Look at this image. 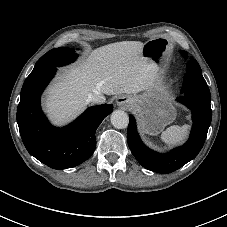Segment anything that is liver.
Returning a JSON list of instances; mask_svg holds the SVG:
<instances>
[{"label":"liver","mask_w":227,"mask_h":227,"mask_svg":"<svg viewBox=\"0 0 227 227\" xmlns=\"http://www.w3.org/2000/svg\"><path fill=\"white\" fill-rule=\"evenodd\" d=\"M140 41H122L94 49L89 57L57 77L48 88L44 108L56 124L82 112L90 93L137 94L152 87L157 65L142 55Z\"/></svg>","instance_id":"obj_1"}]
</instances>
